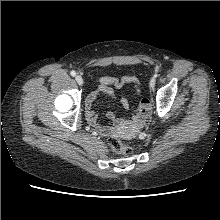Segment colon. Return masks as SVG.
Instances as JSON below:
<instances>
[{
    "mask_svg": "<svg viewBox=\"0 0 220 220\" xmlns=\"http://www.w3.org/2000/svg\"><path fill=\"white\" fill-rule=\"evenodd\" d=\"M142 107V114L145 115L150 109V102L148 99L143 100ZM108 144L115 153L123 155L131 153V148L117 137H110L108 139Z\"/></svg>",
    "mask_w": 220,
    "mask_h": 220,
    "instance_id": "1",
    "label": "colon"
}]
</instances>
